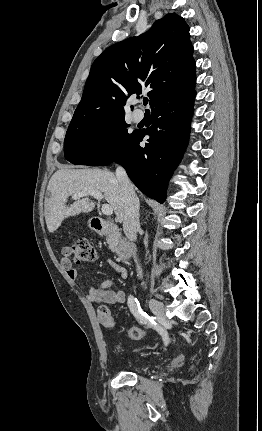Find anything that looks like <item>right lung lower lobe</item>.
<instances>
[{"label":"right lung lower lobe","instance_id":"obj_1","mask_svg":"<svg viewBox=\"0 0 262 431\" xmlns=\"http://www.w3.org/2000/svg\"><path fill=\"white\" fill-rule=\"evenodd\" d=\"M194 89L183 97L152 110V126L137 131L123 153L113 162L122 165L145 195L162 203L167 184L179 164L189 140ZM149 135L144 148L139 142Z\"/></svg>","mask_w":262,"mask_h":431}]
</instances>
